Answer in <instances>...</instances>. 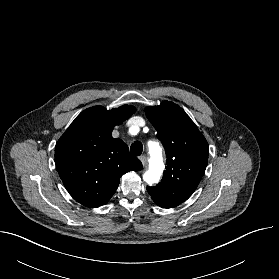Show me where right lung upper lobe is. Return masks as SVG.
Masks as SVG:
<instances>
[{
    "label": "right lung upper lobe",
    "instance_id": "1",
    "mask_svg": "<svg viewBox=\"0 0 279 279\" xmlns=\"http://www.w3.org/2000/svg\"><path fill=\"white\" fill-rule=\"evenodd\" d=\"M135 112L123 105L107 110L93 106L82 111L60 137L55 164L69 194L86 207L102 206L113 196L120 177L142 169L128 146L111 132Z\"/></svg>",
    "mask_w": 279,
    "mask_h": 279
}]
</instances>
